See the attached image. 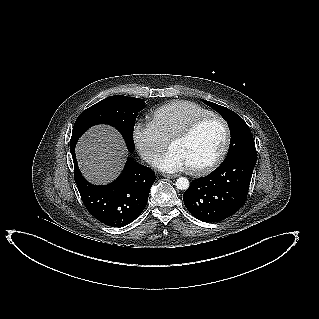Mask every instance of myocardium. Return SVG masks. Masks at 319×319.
<instances>
[{"mask_svg": "<svg viewBox=\"0 0 319 319\" xmlns=\"http://www.w3.org/2000/svg\"><path fill=\"white\" fill-rule=\"evenodd\" d=\"M210 120H216L222 125L225 134L223 145L217 156L210 163L201 167L187 168L188 173L191 175L200 176L208 174L216 169L223 162L228 153L231 142V130L227 121L216 114L201 116L191 121L184 128L175 133L169 140V147H171L173 143L185 140L190 137L200 125Z\"/></svg>", "mask_w": 319, "mask_h": 319, "instance_id": "obj_1", "label": "myocardium"}]
</instances>
